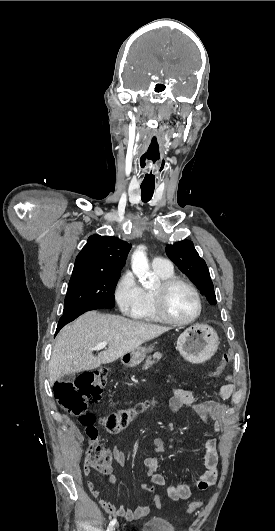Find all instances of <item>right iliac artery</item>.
<instances>
[{
    "instance_id": "1",
    "label": "right iliac artery",
    "mask_w": 275,
    "mask_h": 531,
    "mask_svg": "<svg viewBox=\"0 0 275 531\" xmlns=\"http://www.w3.org/2000/svg\"><path fill=\"white\" fill-rule=\"evenodd\" d=\"M115 524H116V519H113V520L109 523V526H108V528H107V531H113Z\"/></svg>"
}]
</instances>
